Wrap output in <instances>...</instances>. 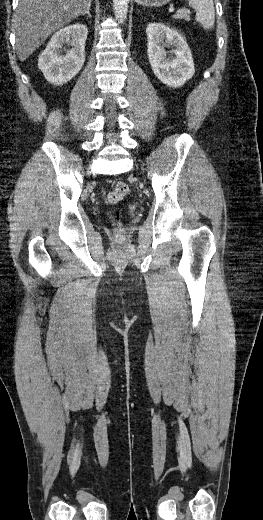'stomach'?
Returning <instances> with one entry per match:
<instances>
[{"instance_id": "obj_1", "label": "stomach", "mask_w": 263, "mask_h": 520, "mask_svg": "<svg viewBox=\"0 0 263 520\" xmlns=\"http://www.w3.org/2000/svg\"><path fill=\"white\" fill-rule=\"evenodd\" d=\"M137 4L142 6L160 7L170 2V0H135Z\"/></svg>"}]
</instances>
